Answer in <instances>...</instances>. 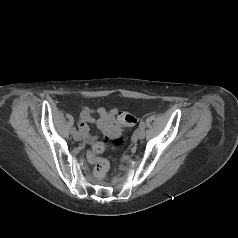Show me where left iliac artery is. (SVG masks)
Here are the masks:
<instances>
[{
	"instance_id": "obj_1",
	"label": "left iliac artery",
	"mask_w": 238,
	"mask_h": 238,
	"mask_svg": "<svg viewBox=\"0 0 238 238\" xmlns=\"http://www.w3.org/2000/svg\"><path fill=\"white\" fill-rule=\"evenodd\" d=\"M145 126H146V125H145L144 121H140V123H139L140 129H144Z\"/></svg>"
}]
</instances>
